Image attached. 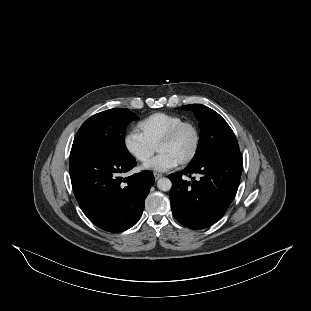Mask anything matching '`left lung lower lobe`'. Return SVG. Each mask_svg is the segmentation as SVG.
Masks as SVG:
<instances>
[{
  "label": "left lung lower lobe",
  "instance_id": "0a47b994",
  "mask_svg": "<svg viewBox=\"0 0 311 311\" xmlns=\"http://www.w3.org/2000/svg\"><path fill=\"white\" fill-rule=\"evenodd\" d=\"M243 160L240 152L219 155L204 163L187 166L169 175V196L174 217L185 227L203 229L213 225L233 201L240 182ZM201 174L191 182L182 175Z\"/></svg>",
  "mask_w": 311,
  "mask_h": 311
}]
</instances>
